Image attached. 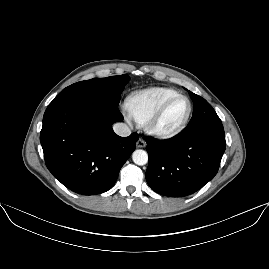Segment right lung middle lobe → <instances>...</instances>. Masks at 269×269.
I'll return each mask as SVG.
<instances>
[{"label":"right lung middle lobe","mask_w":269,"mask_h":269,"mask_svg":"<svg viewBox=\"0 0 269 269\" xmlns=\"http://www.w3.org/2000/svg\"><path fill=\"white\" fill-rule=\"evenodd\" d=\"M129 80L130 77L126 74L107 78H93L74 83L64 88L61 93L86 95L118 105L121 93Z\"/></svg>","instance_id":"dd1d6c3e"}]
</instances>
